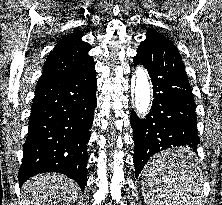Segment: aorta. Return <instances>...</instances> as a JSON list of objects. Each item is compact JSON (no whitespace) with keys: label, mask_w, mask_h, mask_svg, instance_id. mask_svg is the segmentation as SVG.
I'll list each match as a JSON object with an SVG mask.
<instances>
[{"label":"aorta","mask_w":222,"mask_h":205,"mask_svg":"<svg viewBox=\"0 0 222 205\" xmlns=\"http://www.w3.org/2000/svg\"><path fill=\"white\" fill-rule=\"evenodd\" d=\"M129 96L136 114L144 117L151 104V86L147 71L142 66H138L132 75Z\"/></svg>","instance_id":"1"}]
</instances>
